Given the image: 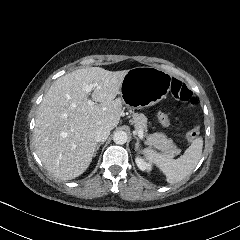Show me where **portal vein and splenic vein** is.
<instances>
[{
    "mask_svg": "<svg viewBox=\"0 0 240 240\" xmlns=\"http://www.w3.org/2000/svg\"><path fill=\"white\" fill-rule=\"evenodd\" d=\"M95 86H97V83H96V84H91V85H86V86L83 87V90L89 92V91H91V89H92L93 87H95ZM92 104H93V103H92ZM136 133H137V135H138L139 137H141V138H142L143 135H144L143 129L138 130Z\"/></svg>",
    "mask_w": 240,
    "mask_h": 240,
    "instance_id": "1",
    "label": "portal vein and splenic vein"
}]
</instances>
